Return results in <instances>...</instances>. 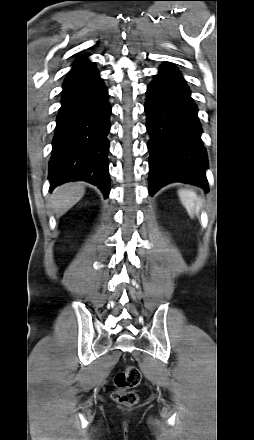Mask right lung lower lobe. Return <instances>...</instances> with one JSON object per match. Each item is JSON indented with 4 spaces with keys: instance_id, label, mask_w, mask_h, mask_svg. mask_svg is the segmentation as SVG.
Returning a JSON list of instances; mask_svg holds the SVG:
<instances>
[{
    "instance_id": "obj_1",
    "label": "right lung lower lobe",
    "mask_w": 254,
    "mask_h": 440,
    "mask_svg": "<svg viewBox=\"0 0 254 440\" xmlns=\"http://www.w3.org/2000/svg\"><path fill=\"white\" fill-rule=\"evenodd\" d=\"M95 65L74 66L63 85L49 162L50 190L69 181H87L109 194L107 153L111 107Z\"/></svg>"
}]
</instances>
